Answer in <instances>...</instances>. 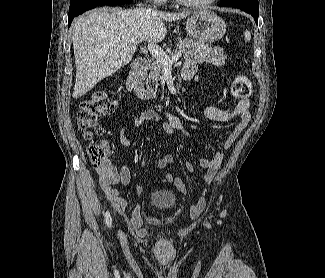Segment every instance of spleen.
<instances>
[{
	"label": "spleen",
	"mask_w": 325,
	"mask_h": 278,
	"mask_svg": "<svg viewBox=\"0 0 325 278\" xmlns=\"http://www.w3.org/2000/svg\"><path fill=\"white\" fill-rule=\"evenodd\" d=\"M244 36H245V41H250L251 33L248 30L245 31Z\"/></svg>",
	"instance_id": "obj_1"
}]
</instances>
